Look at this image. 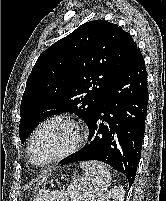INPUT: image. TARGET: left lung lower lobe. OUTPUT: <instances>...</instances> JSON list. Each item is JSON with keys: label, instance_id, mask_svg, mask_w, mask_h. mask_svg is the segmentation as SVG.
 <instances>
[{"label": "left lung lower lobe", "instance_id": "obj_1", "mask_svg": "<svg viewBox=\"0 0 166 201\" xmlns=\"http://www.w3.org/2000/svg\"><path fill=\"white\" fill-rule=\"evenodd\" d=\"M147 102L145 62L137 48L87 124L88 143L79 153L65 158L62 165L99 160L123 173L131 186L141 155Z\"/></svg>", "mask_w": 166, "mask_h": 201}]
</instances>
